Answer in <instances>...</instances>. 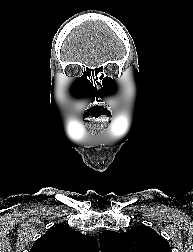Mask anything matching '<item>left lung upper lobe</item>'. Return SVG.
<instances>
[{
    "instance_id": "left-lung-upper-lobe-1",
    "label": "left lung upper lobe",
    "mask_w": 193,
    "mask_h": 252,
    "mask_svg": "<svg viewBox=\"0 0 193 252\" xmlns=\"http://www.w3.org/2000/svg\"><path fill=\"white\" fill-rule=\"evenodd\" d=\"M101 252H172L168 241L148 226H135L126 233L104 230Z\"/></svg>"
}]
</instances>
